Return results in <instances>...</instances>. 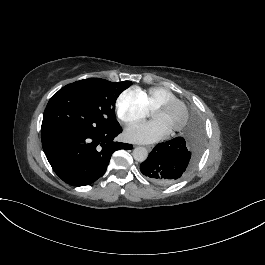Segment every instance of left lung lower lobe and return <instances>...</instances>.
I'll return each mask as SVG.
<instances>
[{"instance_id":"1","label":"left lung lower lobe","mask_w":265,"mask_h":265,"mask_svg":"<svg viewBox=\"0 0 265 265\" xmlns=\"http://www.w3.org/2000/svg\"><path fill=\"white\" fill-rule=\"evenodd\" d=\"M204 144L201 119L193 116L183 136L159 143L141 163L140 171L151 181L168 185L187 176L197 164Z\"/></svg>"}]
</instances>
